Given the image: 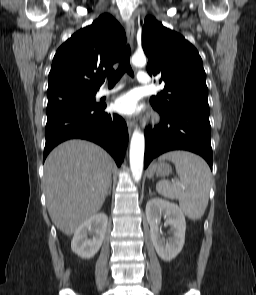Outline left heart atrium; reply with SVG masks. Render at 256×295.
Returning a JSON list of instances; mask_svg holds the SVG:
<instances>
[{
	"instance_id": "1",
	"label": "left heart atrium",
	"mask_w": 256,
	"mask_h": 295,
	"mask_svg": "<svg viewBox=\"0 0 256 295\" xmlns=\"http://www.w3.org/2000/svg\"><path fill=\"white\" fill-rule=\"evenodd\" d=\"M114 108L126 116H133L140 111V103L135 92H127L118 97L114 102Z\"/></svg>"
}]
</instances>
